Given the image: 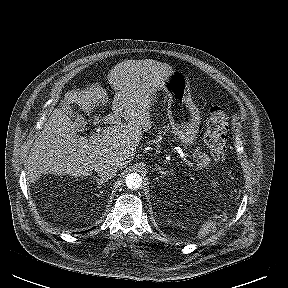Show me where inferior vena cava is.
<instances>
[{
    "label": "inferior vena cava",
    "mask_w": 288,
    "mask_h": 288,
    "mask_svg": "<svg viewBox=\"0 0 288 288\" xmlns=\"http://www.w3.org/2000/svg\"><path fill=\"white\" fill-rule=\"evenodd\" d=\"M94 169L99 177L108 180L116 175L118 166L113 160L105 159L97 162Z\"/></svg>",
    "instance_id": "inferior-vena-cava-1"
}]
</instances>
